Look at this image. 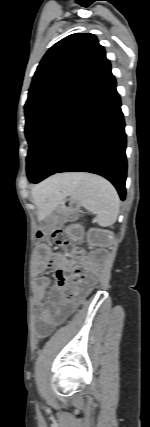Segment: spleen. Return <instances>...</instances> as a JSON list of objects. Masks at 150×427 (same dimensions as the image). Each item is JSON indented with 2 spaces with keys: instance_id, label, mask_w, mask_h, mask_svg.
I'll return each instance as SVG.
<instances>
[{
  "instance_id": "3e777b00",
  "label": "spleen",
  "mask_w": 150,
  "mask_h": 427,
  "mask_svg": "<svg viewBox=\"0 0 150 427\" xmlns=\"http://www.w3.org/2000/svg\"><path fill=\"white\" fill-rule=\"evenodd\" d=\"M48 195L71 196L86 210L96 214L94 222L101 227L113 225L118 217L120 199L114 186L106 179L87 173L67 174L60 186L50 187Z\"/></svg>"
}]
</instances>
